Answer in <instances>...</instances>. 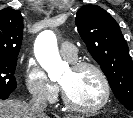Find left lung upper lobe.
<instances>
[{
    "label": "left lung upper lobe",
    "mask_w": 133,
    "mask_h": 118,
    "mask_svg": "<svg viewBox=\"0 0 133 118\" xmlns=\"http://www.w3.org/2000/svg\"><path fill=\"white\" fill-rule=\"evenodd\" d=\"M75 24L116 98L133 110V62L117 22L103 8L85 5L77 11Z\"/></svg>",
    "instance_id": "left-lung-upper-lobe-1"
}]
</instances>
